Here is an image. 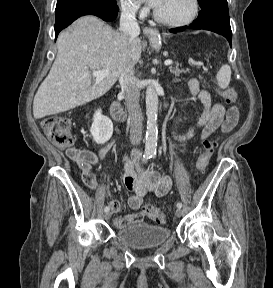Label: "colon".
<instances>
[{
	"label": "colon",
	"mask_w": 273,
	"mask_h": 288,
	"mask_svg": "<svg viewBox=\"0 0 273 288\" xmlns=\"http://www.w3.org/2000/svg\"><path fill=\"white\" fill-rule=\"evenodd\" d=\"M220 95L228 102L237 100V92L235 88H226L219 90ZM42 129L47 138L58 148L67 149L74 143V135L71 130V122L64 116H49L42 120ZM217 147L216 141H205L204 150L200 154L196 162V168L200 172H204L210 159ZM143 211L155 222L162 223L165 221V213L150 204L143 205Z\"/></svg>",
	"instance_id": "obj_1"
}]
</instances>
